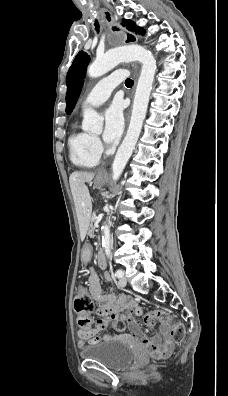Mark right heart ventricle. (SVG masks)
I'll return each instance as SVG.
<instances>
[{"label": "right heart ventricle", "mask_w": 228, "mask_h": 396, "mask_svg": "<svg viewBox=\"0 0 228 396\" xmlns=\"http://www.w3.org/2000/svg\"><path fill=\"white\" fill-rule=\"evenodd\" d=\"M95 138L77 126L69 137L68 145L72 162L83 168H93L100 161V152L94 142Z\"/></svg>", "instance_id": "e07e8e85"}]
</instances>
